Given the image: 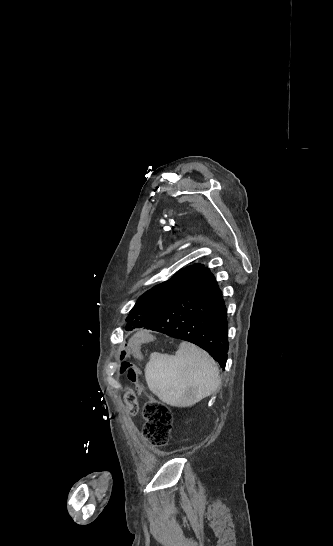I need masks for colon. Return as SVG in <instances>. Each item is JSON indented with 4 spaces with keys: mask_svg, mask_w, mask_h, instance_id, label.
I'll use <instances>...</instances> for the list:
<instances>
[{
    "mask_svg": "<svg viewBox=\"0 0 333 546\" xmlns=\"http://www.w3.org/2000/svg\"><path fill=\"white\" fill-rule=\"evenodd\" d=\"M132 344L133 342L128 345L129 350ZM120 369L127 376L125 380L127 385H134L143 391L146 389V382L138 376L139 367L135 365V362H132V359L123 362ZM143 395L147 400L150 398L146 392ZM125 400L130 404L136 402V395L132 389L125 393ZM143 417L145 419L143 436L146 441L152 447L165 446L169 441L173 426L172 414L169 408L157 400L150 399L144 404Z\"/></svg>",
    "mask_w": 333,
    "mask_h": 546,
    "instance_id": "colon-1",
    "label": "colon"
}]
</instances>
